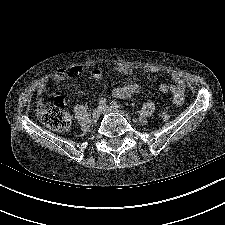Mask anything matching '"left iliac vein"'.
<instances>
[{
  "instance_id": "obj_1",
  "label": "left iliac vein",
  "mask_w": 225,
  "mask_h": 225,
  "mask_svg": "<svg viewBox=\"0 0 225 225\" xmlns=\"http://www.w3.org/2000/svg\"><path fill=\"white\" fill-rule=\"evenodd\" d=\"M101 109H102V113L117 112V113H120V114L124 115L125 117L129 118L128 113L125 112L121 108H114V107L105 105V106L101 107Z\"/></svg>"
}]
</instances>
